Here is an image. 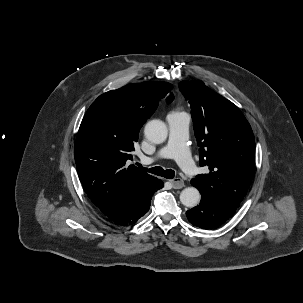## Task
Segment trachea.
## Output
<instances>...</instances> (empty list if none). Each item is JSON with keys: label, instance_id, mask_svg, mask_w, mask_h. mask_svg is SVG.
I'll list each match as a JSON object with an SVG mask.
<instances>
[{"label": "trachea", "instance_id": "1", "mask_svg": "<svg viewBox=\"0 0 303 303\" xmlns=\"http://www.w3.org/2000/svg\"><path fill=\"white\" fill-rule=\"evenodd\" d=\"M139 167L142 168V166L139 164ZM145 169L146 171L154 174V175H158V176H162V177H165L167 179H173L174 176H175V172L174 170L172 169H167V170H164L162 167L160 166H156V167H153V168H143Z\"/></svg>", "mask_w": 303, "mask_h": 303}]
</instances>
